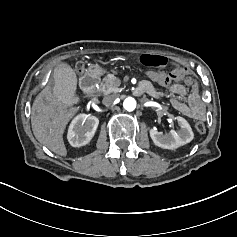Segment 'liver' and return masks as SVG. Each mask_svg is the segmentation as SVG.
<instances>
[{"mask_svg":"<svg viewBox=\"0 0 237 237\" xmlns=\"http://www.w3.org/2000/svg\"><path fill=\"white\" fill-rule=\"evenodd\" d=\"M32 110L34 113L31 117V124L35 138L52 152L66 156L67 150L63 141V133L78 108L68 109L50 92L43 91L36 97Z\"/></svg>","mask_w":237,"mask_h":237,"instance_id":"obj_1","label":"liver"}]
</instances>
